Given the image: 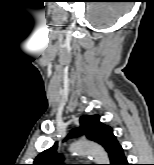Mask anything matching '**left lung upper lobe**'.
I'll use <instances>...</instances> for the list:
<instances>
[{
    "instance_id": "left-lung-upper-lobe-1",
    "label": "left lung upper lobe",
    "mask_w": 154,
    "mask_h": 165,
    "mask_svg": "<svg viewBox=\"0 0 154 165\" xmlns=\"http://www.w3.org/2000/svg\"><path fill=\"white\" fill-rule=\"evenodd\" d=\"M99 118L98 115L82 116L80 118V128L72 130L68 137L75 138L85 134L88 139L99 143L105 148L112 163L115 154L121 146L116 140L111 127L101 123ZM57 147L58 143L56 142L50 149L40 153L35 158L33 165H69L63 163L61 154H57Z\"/></svg>"
}]
</instances>
